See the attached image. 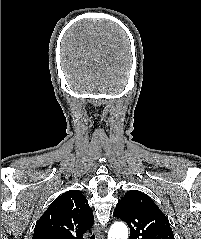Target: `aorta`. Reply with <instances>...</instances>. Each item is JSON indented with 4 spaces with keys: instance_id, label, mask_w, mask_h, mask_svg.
Returning a JSON list of instances; mask_svg holds the SVG:
<instances>
[{
    "instance_id": "aorta-1",
    "label": "aorta",
    "mask_w": 201,
    "mask_h": 239,
    "mask_svg": "<svg viewBox=\"0 0 201 239\" xmlns=\"http://www.w3.org/2000/svg\"><path fill=\"white\" fill-rule=\"evenodd\" d=\"M108 239H128V228L123 222L114 223L108 233Z\"/></svg>"
}]
</instances>
